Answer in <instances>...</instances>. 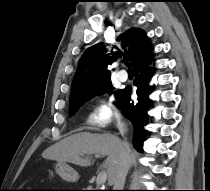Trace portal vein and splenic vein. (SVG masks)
<instances>
[{"mask_svg": "<svg viewBox=\"0 0 210 191\" xmlns=\"http://www.w3.org/2000/svg\"><path fill=\"white\" fill-rule=\"evenodd\" d=\"M95 157H99V155L97 154V155H95ZM106 179H107V173L100 172L96 179L97 186H101L102 184H104L106 182Z\"/></svg>", "mask_w": 210, "mask_h": 191, "instance_id": "portal-vein-and-splenic-vein-1", "label": "portal vein and splenic vein"}]
</instances>
